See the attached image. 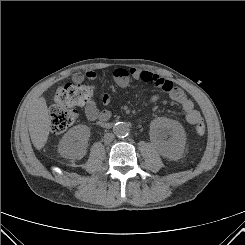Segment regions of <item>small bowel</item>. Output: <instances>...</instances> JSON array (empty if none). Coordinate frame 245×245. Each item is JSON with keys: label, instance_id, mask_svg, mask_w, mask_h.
<instances>
[{"label": "small bowel", "instance_id": "1", "mask_svg": "<svg viewBox=\"0 0 245 245\" xmlns=\"http://www.w3.org/2000/svg\"><path fill=\"white\" fill-rule=\"evenodd\" d=\"M96 72L88 70L85 73H76L73 75L72 80L75 83H82L86 78L94 79L96 78ZM113 78L115 83L121 88H127L131 80L143 81L146 83H151L161 89L173 102L179 105L185 116V120L191 124H197L201 121V114L195 108L193 101L184 93V91L174 84L156 73L142 70L139 68H116L113 71ZM160 94H154L148 99L149 104H154L160 99ZM111 101L109 94H104L102 96V103L108 105ZM84 112L87 119L91 122L104 125L111 117V113L106 109H99L96 102L90 99L84 104Z\"/></svg>", "mask_w": 245, "mask_h": 245}]
</instances>
